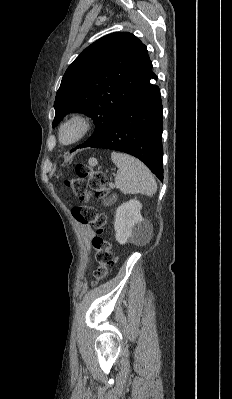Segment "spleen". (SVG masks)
<instances>
[{"label":"spleen","instance_id":"spleen-1","mask_svg":"<svg viewBox=\"0 0 232 399\" xmlns=\"http://www.w3.org/2000/svg\"><path fill=\"white\" fill-rule=\"evenodd\" d=\"M111 160L118 168L115 186L122 194H144L150 198L154 196L157 190L156 180L140 160L117 152H112Z\"/></svg>","mask_w":232,"mask_h":399}]
</instances>
